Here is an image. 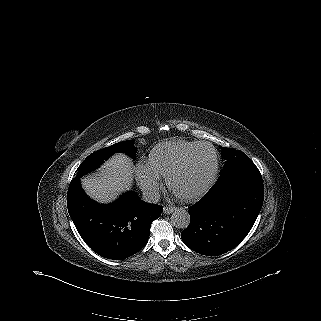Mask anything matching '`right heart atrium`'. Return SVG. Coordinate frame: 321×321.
Here are the masks:
<instances>
[{
	"mask_svg": "<svg viewBox=\"0 0 321 321\" xmlns=\"http://www.w3.org/2000/svg\"><path fill=\"white\" fill-rule=\"evenodd\" d=\"M137 180L142 190L149 196H156L160 188V179L149 168L145 161H140L135 168Z\"/></svg>",
	"mask_w": 321,
	"mask_h": 321,
	"instance_id": "d8ad5b80",
	"label": "right heart atrium"
}]
</instances>
